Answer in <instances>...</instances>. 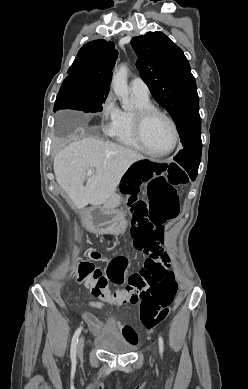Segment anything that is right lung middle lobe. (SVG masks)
Here are the masks:
<instances>
[{
    "label": "right lung middle lobe",
    "instance_id": "dd1d6c3e",
    "mask_svg": "<svg viewBox=\"0 0 248 389\" xmlns=\"http://www.w3.org/2000/svg\"><path fill=\"white\" fill-rule=\"evenodd\" d=\"M109 88L93 87L82 75H69L57 95L54 110L76 109L84 112H100Z\"/></svg>",
    "mask_w": 248,
    "mask_h": 389
}]
</instances>
